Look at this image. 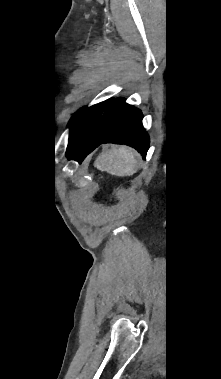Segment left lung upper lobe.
<instances>
[{"mask_svg": "<svg viewBox=\"0 0 221 379\" xmlns=\"http://www.w3.org/2000/svg\"><path fill=\"white\" fill-rule=\"evenodd\" d=\"M92 107L88 109H82L75 113L73 117L71 118L69 122V127H70V136L73 134L74 130L76 129L77 125L80 123V121L86 116V114L89 112V110Z\"/></svg>", "mask_w": 221, "mask_h": 379, "instance_id": "5c2ea615", "label": "left lung upper lobe"}]
</instances>
